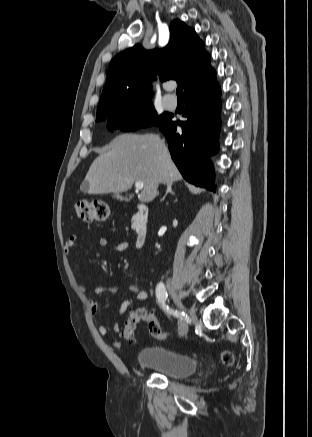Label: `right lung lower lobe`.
Masks as SVG:
<instances>
[{"instance_id":"1","label":"right lung lower lobe","mask_w":312,"mask_h":437,"mask_svg":"<svg viewBox=\"0 0 312 437\" xmlns=\"http://www.w3.org/2000/svg\"><path fill=\"white\" fill-rule=\"evenodd\" d=\"M220 86L215 73L184 93L185 122L160 126L166 135L171 157L186 181L215 192L214 170L209 156L218 151L220 130ZM182 133L176 132V126Z\"/></svg>"}]
</instances>
